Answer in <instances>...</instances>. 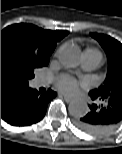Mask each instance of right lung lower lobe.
Returning a JSON list of instances; mask_svg holds the SVG:
<instances>
[{
	"label": "right lung lower lobe",
	"mask_w": 122,
	"mask_h": 154,
	"mask_svg": "<svg viewBox=\"0 0 122 154\" xmlns=\"http://www.w3.org/2000/svg\"><path fill=\"white\" fill-rule=\"evenodd\" d=\"M57 93L40 94L29 85L1 90V118L12 126H29L46 114L47 105Z\"/></svg>",
	"instance_id": "right-lung-lower-lobe-1"
}]
</instances>
